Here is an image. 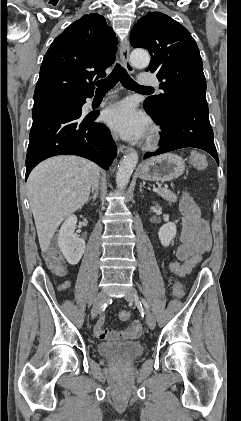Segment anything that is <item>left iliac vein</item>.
<instances>
[{"mask_svg":"<svg viewBox=\"0 0 241 421\" xmlns=\"http://www.w3.org/2000/svg\"><path fill=\"white\" fill-rule=\"evenodd\" d=\"M125 299L130 302H139V296L135 288H131L129 292L125 295ZM146 323L150 329H154L156 325V320L151 311L146 310Z\"/></svg>","mask_w":241,"mask_h":421,"instance_id":"1","label":"left iliac vein"}]
</instances>
